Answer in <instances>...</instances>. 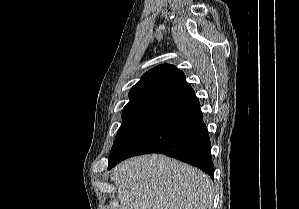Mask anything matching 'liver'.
I'll return each instance as SVG.
<instances>
[{"label":"liver","mask_w":299,"mask_h":209,"mask_svg":"<svg viewBox=\"0 0 299 209\" xmlns=\"http://www.w3.org/2000/svg\"><path fill=\"white\" fill-rule=\"evenodd\" d=\"M120 209H212V180L163 154L130 158L115 167Z\"/></svg>","instance_id":"1"}]
</instances>
